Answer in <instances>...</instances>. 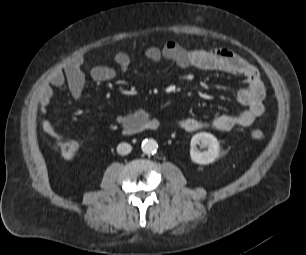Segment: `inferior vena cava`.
Here are the masks:
<instances>
[{
    "label": "inferior vena cava",
    "mask_w": 306,
    "mask_h": 255,
    "mask_svg": "<svg viewBox=\"0 0 306 255\" xmlns=\"http://www.w3.org/2000/svg\"><path fill=\"white\" fill-rule=\"evenodd\" d=\"M131 150H132V146L128 143H120L117 146V152L120 155H127L131 152Z\"/></svg>",
    "instance_id": "inferior-vena-cava-1"
}]
</instances>
